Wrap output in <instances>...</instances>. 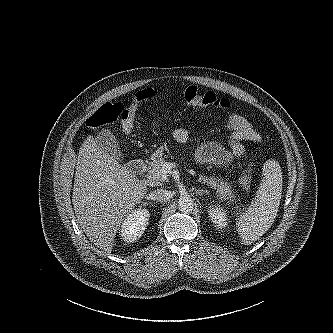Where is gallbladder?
I'll list each match as a JSON object with an SVG mask.
<instances>
[{
	"label": "gallbladder",
	"mask_w": 333,
	"mask_h": 333,
	"mask_svg": "<svg viewBox=\"0 0 333 333\" xmlns=\"http://www.w3.org/2000/svg\"><path fill=\"white\" fill-rule=\"evenodd\" d=\"M96 143L104 152H106L116 160H124V153L122 152L117 139L109 129H102L97 134Z\"/></svg>",
	"instance_id": "bac80fb5"
}]
</instances>
